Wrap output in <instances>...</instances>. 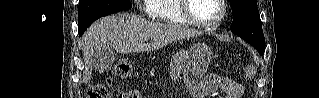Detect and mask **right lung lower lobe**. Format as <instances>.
I'll list each match as a JSON object with an SVG mask.
<instances>
[{
	"label": "right lung lower lobe",
	"mask_w": 319,
	"mask_h": 98,
	"mask_svg": "<svg viewBox=\"0 0 319 98\" xmlns=\"http://www.w3.org/2000/svg\"><path fill=\"white\" fill-rule=\"evenodd\" d=\"M99 17H96V18H92V19H89V20H86L82 23H79L78 24V28H79V35L81 36L85 30L95 21L97 20Z\"/></svg>",
	"instance_id": "1"
}]
</instances>
